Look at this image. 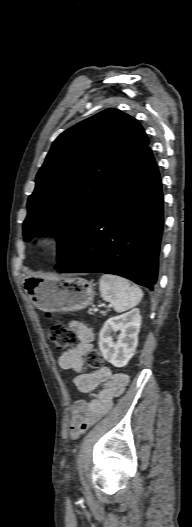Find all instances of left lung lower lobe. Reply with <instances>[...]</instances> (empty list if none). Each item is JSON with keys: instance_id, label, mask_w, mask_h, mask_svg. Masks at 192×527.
Instances as JSON below:
<instances>
[{"instance_id": "obj_1", "label": "left lung lower lobe", "mask_w": 192, "mask_h": 527, "mask_svg": "<svg viewBox=\"0 0 192 527\" xmlns=\"http://www.w3.org/2000/svg\"><path fill=\"white\" fill-rule=\"evenodd\" d=\"M163 222L161 179L147 146L109 188L55 269L115 274L153 290Z\"/></svg>"}]
</instances>
